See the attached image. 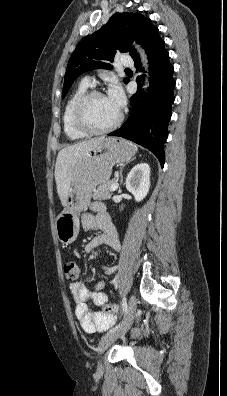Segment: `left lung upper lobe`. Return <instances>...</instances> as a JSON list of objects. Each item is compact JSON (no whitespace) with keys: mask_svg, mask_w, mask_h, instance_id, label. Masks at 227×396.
Segmentation results:
<instances>
[{"mask_svg":"<svg viewBox=\"0 0 227 396\" xmlns=\"http://www.w3.org/2000/svg\"><path fill=\"white\" fill-rule=\"evenodd\" d=\"M159 30L149 18L139 13H115L108 23L95 33L82 39L73 52L65 73L62 98L74 80L83 72L111 66L116 53H129L134 59L138 56L130 45L134 40L146 50L159 39ZM128 79H124L126 83Z\"/></svg>","mask_w":227,"mask_h":396,"instance_id":"5c2ea615","label":"left lung upper lobe"}]
</instances>
